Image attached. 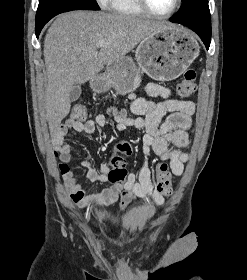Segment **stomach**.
Masks as SVG:
<instances>
[{"mask_svg":"<svg viewBox=\"0 0 247 280\" xmlns=\"http://www.w3.org/2000/svg\"><path fill=\"white\" fill-rule=\"evenodd\" d=\"M199 45L185 28L169 27L156 31L139 43L137 64L128 56L110 63L102 76L93 77L90 85L98 93L113 88L126 95L140 86L141 73L158 81L179 77L199 55Z\"/></svg>","mask_w":247,"mask_h":280,"instance_id":"1","label":"stomach"}]
</instances>
